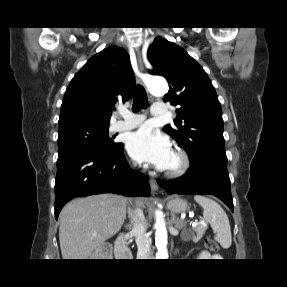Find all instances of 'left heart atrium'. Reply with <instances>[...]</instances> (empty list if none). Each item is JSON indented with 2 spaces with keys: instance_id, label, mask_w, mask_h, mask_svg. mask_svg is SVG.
<instances>
[{
  "instance_id": "39dd6f15",
  "label": "left heart atrium",
  "mask_w": 287,
  "mask_h": 287,
  "mask_svg": "<svg viewBox=\"0 0 287 287\" xmlns=\"http://www.w3.org/2000/svg\"><path fill=\"white\" fill-rule=\"evenodd\" d=\"M131 157L143 163L165 169L173 153L168 138L148 126L131 133L126 143Z\"/></svg>"
}]
</instances>
